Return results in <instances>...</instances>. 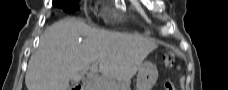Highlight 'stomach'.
<instances>
[{"instance_id":"obj_1","label":"stomach","mask_w":228,"mask_h":90,"mask_svg":"<svg viewBox=\"0 0 228 90\" xmlns=\"http://www.w3.org/2000/svg\"><path fill=\"white\" fill-rule=\"evenodd\" d=\"M158 78V70L151 62L143 63L137 75V90H151Z\"/></svg>"}]
</instances>
